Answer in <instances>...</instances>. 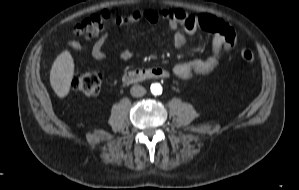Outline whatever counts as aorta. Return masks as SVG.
Segmentation results:
<instances>
[{"mask_svg": "<svg viewBox=\"0 0 299 190\" xmlns=\"http://www.w3.org/2000/svg\"><path fill=\"white\" fill-rule=\"evenodd\" d=\"M151 93L154 95L162 94V87L159 83H154L150 87Z\"/></svg>", "mask_w": 299, "mask_h": 190, "instance_id": "762f6f07", "label": "aorta"}]
</instances>
